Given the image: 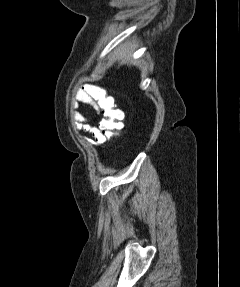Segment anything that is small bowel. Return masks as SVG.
Instances as JSON below:
<instances>
[{
  "instance_id": "obj_1",
  "label": "small bowel",
  "mask_w": 240,
  "mask_h": 287,
  "mask_svg": "<svg viewBox=\"0 0 240 287\" xmlns=\"http://www.w3.org/2000/svg\"><path fill=\"white\" fill-rule=\"evenodd\" d=\"M80 103L90 105L96 111L100 110L96 101L86 91L78 89L75 91L74 98L72 101V107L74 109H78ZM79 120L81 122H85L83 128L92 134L94 138V143L96 145H101L105 143L106 138L102 135L101 131L96 126L89 124L93 120V118L80 114Z\"/></svg>"
}]
</instances>
